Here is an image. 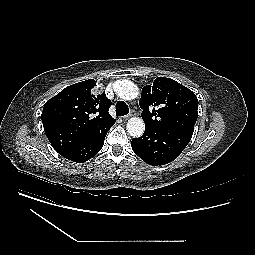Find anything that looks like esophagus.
<instances>
[{
    "label": "esophagus",
    "instance_id": "34e87169",
    "mask_svg": "<svg viewBox=\"0 0 255 255\" xmlns=\"http://www.w3.org/2000/svg\"><path fill=\"white\" fill-rule=\"evenodd\" d=\"M132 115H133V114H132V112H131V113H129V114L123 116V119H124V120H127V119L130 118Z\"/></svg>",
    "mask_w": 255,
    "mask_h": 255
}]
</instances>
